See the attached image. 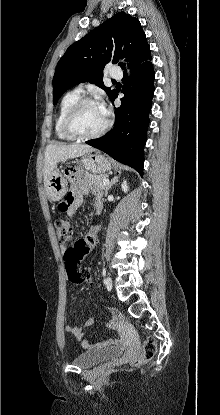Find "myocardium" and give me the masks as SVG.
Returning a JSON list of instances; mask_svg holds the SVG:
<instances>
[{
  "label": "myocardium",
  "instance_id": "1",
  "mask_svg": "<svg viewBox=\"0 0 220 415\" xmlns=\"http://www.w3.org/2000/svg\"><path fill=\"white\" fill-rule=\"evenodd\" d=\"M89 104H96L100 105V102L95 98H81L78 100L65 114L62 122V129L65 132L67 136L72 138L73 140H79V141H86V140H93L101 137L108 129L109 127V120L106 118V121L103 125V127L96 133L91 135H82L75 131L73 127L74 120L78 113L84 108L85 106Z\"/></svg>",
  "mask_w": 220,
  "mask_h": 415
}]
</instances>
